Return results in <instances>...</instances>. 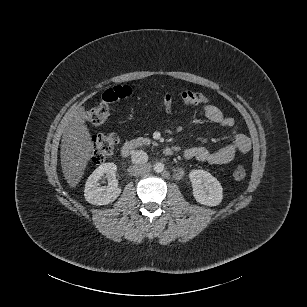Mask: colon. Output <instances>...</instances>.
<instances>
[{
    "label": "colon",
    "instance_id": "1",
    "mask_svg": "<svg viewBox=\"0 0 307 307\" xmlns=\"http://www.w3.org/2000/svg\"><path fill=\"white\" fill-rule=\"evenodd\" d=\"M132 93V89L127 85L114 86L107 89L101 97L99 105L86 114V121L92 126H99L110 116L112 106ZM208 102L207 96L200 92L186 90L179 99L171 95H165L159 102V107L165 111H170L177 105L190 106L196 104H205ZM118 143L115 134H99L93 139V151L91 161L94 164H100L105 161L114 151ZM232 176L234 180H242L246 176V169L243 164H237Z\"/></svg>",
    "mask_w": 307,
    "mask_h": 307
}]
</instances>
